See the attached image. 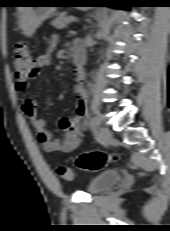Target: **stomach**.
<instances>
[{"label":"stomach","instance_id":"stomach-1","mask_svg":"<svg viewBox=\"0 0 170 231\" xmlns=\"http://www.w3.org/2000/svg\"><path fill=\"white\" fill-rule=\"evenodd\" d=\"M29 2L35 4L52 3V1L47 0H34ZM38 6L39 7H21L18 27L27 37L32 36L36 29L45 20L49 19L56 11V7H44L43 5Z\"/></svg>","mask_w":170,"mask_h":231}]
</instances>
